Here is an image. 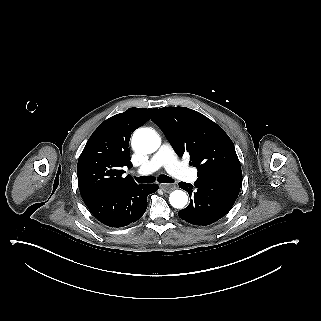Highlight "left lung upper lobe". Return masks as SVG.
Segmentation results:
<instances>
[{"label":"left lung upper lobe","instance_id":"5c2ea615","mask_svg":"<svg viewBox=\"0 0 321 321\" xmlns=\"http://www.w3.org/2000/svg\"><path fill=\"white\" fill-rule=\"evenodd\" d=\"M152 120L179 155L190 154L198 175L241 170L234 144L224 130L203 114L186 107L160 108Z\"/></svg>","mask_w":321,"mask_h":321}]
</instances>
